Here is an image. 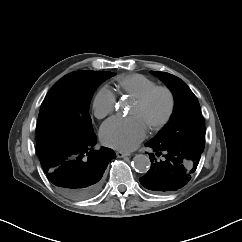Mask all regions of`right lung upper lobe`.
<instances>
[{"label": "right lung upper lobe", "instance_id": "obj_1", "mask_svg": "<svg viewBox=\"0 0 242 242\" xmlns=\"http://www.w3.org/2000/svg\"><path fill=\"white\" fill-rule=\"evenodd\" d=\"M89 70H82L70 73L71 75H81L87 73Z\"/></svg>", "mask_w": 242, "mask_h": 242}]
</instances>
